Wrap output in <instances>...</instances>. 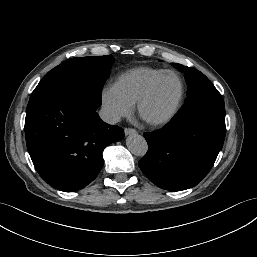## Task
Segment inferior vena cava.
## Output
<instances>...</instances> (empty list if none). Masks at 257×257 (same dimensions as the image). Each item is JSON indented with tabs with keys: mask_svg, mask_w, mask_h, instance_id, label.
I'll return each instance as SVG.
<instances>
[{
	"mask_svg": "<svg viewBox=\"0 0 257 257\" xmlns=\"http://www.w3.org/2000/svg\"><path fill=\"white\" fill-rule=\"evenodd\" d=\"M99 116L104 122L108 124H116L120 121L119 113L107 107L101 108V110L99 111Z\"/></svg>",
	"mask_w": 257,
	"mask_h": 257,
	"instance_id": "obj_1",
	"label": "inferior vena cava"
}]
</instances>
